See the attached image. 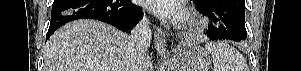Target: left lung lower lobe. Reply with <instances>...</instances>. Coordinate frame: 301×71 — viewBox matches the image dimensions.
Listing matches in <instances>:
<instances>
[{"instance_id":"obj_1","label":"left lung lower lobe","mask_w":301,"mask_h":71,"mask_svg":"<svg viewBox=\"0 0 301 71\" xmlns=\"http://www.w3.org/2000/svg\"><path fill=\"white\" fill-rule=\"evenodd\" d=\"M194 3L203 15L209 16L212 20L206 30L211 40L246 39L244 0H207L204 3Z\"/></svg>"}]
</instances>
